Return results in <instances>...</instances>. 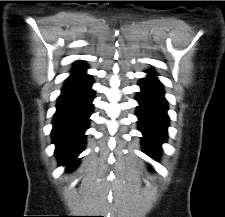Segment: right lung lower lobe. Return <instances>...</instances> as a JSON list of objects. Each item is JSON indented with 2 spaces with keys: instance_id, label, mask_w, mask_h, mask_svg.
Instances as JSON below:
<instances>
[{
  "instance_id": "right-lung-lower-lobe-1",
  "label": "right lung lower lobe",
  "mask_w": 225,
  "mask_h": 217,
  "mask_svg": "<svg viewBox=\"0 0 225 217\" xmlns=\"http://www.w3.org/2000/svg\"><path fill=\"white\" fill-rule=\"evenodd\" d=\"M92 84L90 77L67 80L58 98L52 138L60 165L68 164L69 170L78 164L76 157L86 144L84 132L89 127L95 97Z\"/></svg>"
}]
</instances>
